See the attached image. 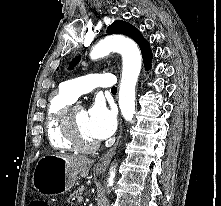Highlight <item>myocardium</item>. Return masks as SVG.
I'll use <instances>...</instances> for the list:
<instances>
[{
  "label": "myocardium",
  "mask_w": 221,
  "mask_h": 206,
  "mask_svg": "<svg viewBox=\"0 0 221 206\" xmlns=\"http://www.w3.org/2000/svg\"><path fill=\"white\" fill-rule=\"evenodd\" d=\"M79 108H81L79 105L67 106L63 113L62 124L68 139L76 150L92 152L98 147V142L96 140L87 141L82 137L74 119V112Z\"/></svg>",
  "instance_id": "1"
}]
</instances>
